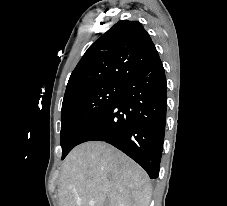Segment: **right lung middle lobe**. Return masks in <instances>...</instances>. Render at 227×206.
<instances>
[{"label": "right lung middle lobe", "instance_id": "obj_1", "mask_svg": "<svg viewBox=\"0 0 227 206\" xmlns=\"http://www.w3.org/2000/svg\"><path fill=\"white\" fill-rule=\"evenodd\" d=\"M123 82H104L64 98L61 112L62 159L80 143L82 136L120 96Z\"/></svg>", "mask_w": 227, "mask_h": 206}]
</instances>
